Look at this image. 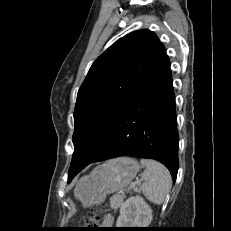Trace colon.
I'll list each match as a JSON object with an SVG mask.
<instances>
[{"label": "colon", "instance_id": "1", "mask_svg": "<svg viewBox=\"0 0 231 231\" xmlns=\"http://www.w3.org/2000/svg\"><path fill=\"white\" fill-rule=\"evenodd\" d=\"M104 211H105L104 206L102 205L94 206L86 221L94 224L99 223L101 221V216L104 213Z\"/></svg>", "mask_w": 231, "mask_h": 231}]
</instances>
